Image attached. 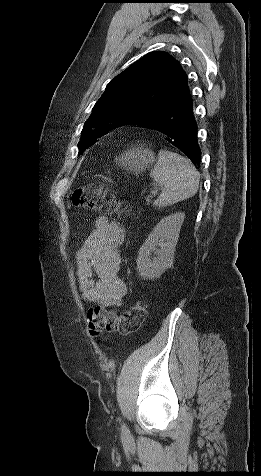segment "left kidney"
<instances>
[{
	"label": "left kidney",
	"instance_id": "1",
	"mask_svg": "<svg viewBox=\"0 0 261 476\" xmlns=\"http://www.w3.org/2000/svg\"><path fill=\"white\" fill-rule=\"evenodd\" d=\"M184 218L183 212H176L161 219L153 228L148 239L140 247L136 260L141 277L157 279L172 266Z\"/></svg>",
	"mask_w": 261,
	"mask_h": 476
}]
</instances>
